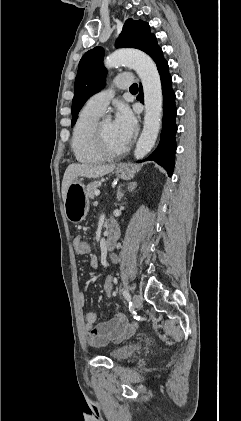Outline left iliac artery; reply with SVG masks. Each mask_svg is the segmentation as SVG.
Returning a JSON list of instances; mask_svg holds the SVG:
<instances>
[{"instance_id": "1", "label": "left iliac artery", "mask_w": 241, "mask_h": 421, "mask_svg": "<svg viewBox=\"0 0 241 421\" xmlns=\"http://www.w3.org/2000/svg\"><path fill=\"white\" fill-rule=\"evenodd\" d=\"M122 293H123V295H124L125 299H126L127 301H130L131 296H130L129 292H128L127 290H125V289H122Z\"/></svg>"}]
</instances>
